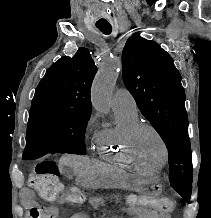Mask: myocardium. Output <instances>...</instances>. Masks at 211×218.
Segmentation results:
<instances>
[{
	"instance_id": "myocardium-1",
	"label": "myocardium",
	"mask_w": 211,
	"mask_h": 218,
	"mask_svg": "<svg viewBox=\"0 0 211 218\" xmlns=\"http://www.w3.org/2000/svg\"><path fill=\"white\" fill-rule=\"evenodd\" d=\"M142 129L150 130L157 137L161 145V148H162L163 159H162L161 165H163L166 162L167 156H168L166 143L161 133L157 130L156 127H154L150 123H146L142 121H137L136 123L131 125L126 132V148H127L128 153L130 154L131 160L136 163H139L140 165L143 164L142 161H140L139 158L136 156V144H135L137 134Z\"/></svg>"
}]
</instances>
